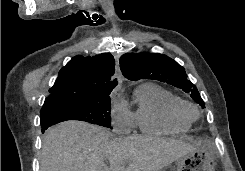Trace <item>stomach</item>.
Returning <instances> with one entry per match:
<instances>
[{
  "mask_svg": "<svg viewBox=\"0 0 245 171\" xmlns=\"http://www.w3.org/2000/svg\"><path fill=\"white\" fill-rule=\"evenodd\" d=\"M215 165L213 152L202 147L177 159L176 171H215Z\"/></svg>",
  "mask_w": 245,
  "mask_h": 171,
  "instance_id": "obj_1",
  "label": "stomach"
}]
</instances>
